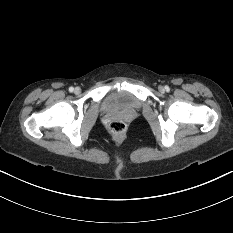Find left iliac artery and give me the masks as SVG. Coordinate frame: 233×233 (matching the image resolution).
I'll list each match as a JSON object with an SVG mask.
<instances>
[{
	"label": "left iliac artery",
	"instance_id": "left-iliac-artery-1",
	"mask_svg": "<svg viewBox=\"0 0 233 233\" xmlns=\"http://www.w3.org/2000/svg\"><path fill=\"white\" fill-rule=\"evenodd\" d=\"M165 89H166V91H169V90H170V88H169L168 86H165Z\"/></svg>",
	"mask_w": 233,
	"mask_h": 233
}]
</instances>
